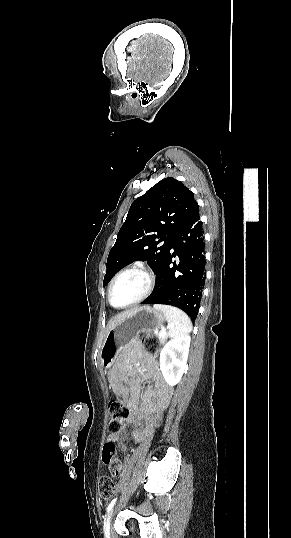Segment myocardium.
<instances>
[{"instance_id":"obj_1","label":"myocardium","mask_w":291,"mask_h":538,"mask_svg":"<svg viewBox=\"0 0 291 538\" xmlns=\"http://www.w3.org/2000/svg\"><path fill=\"white\" fill-rule=\"evenodd\" d=\"M131 272L140 273L146 278V281H147L146 289L139 297L132 300L131 302H129V303L123 305V306H115L113 304L112 298H111L112 297L113 287H114L116 281L121 276H123L124 274H127V273H131ZM154 286H155V276L148 268H146L144 266H141V265H133V266L127 267V268L119 271L114 276V278L111 280V282L109 284V287H108V302L112 307H114L116 309H125V308H128V307L134 306V305L144 301L146 298H148L150 296V294L152 293V291L154 289Z\"/></svg>"}]
</instances>
